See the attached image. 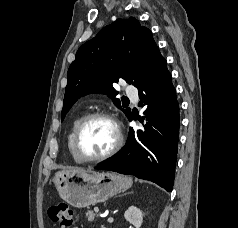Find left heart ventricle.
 Listing matches in <instances>:
<instances>
[{"mask_svg":"<svg viewBox=\"0 0 238 228\" xmlns=\"http://www.w3.org/2000/svg\"><path fill=\"white\" fill-rule=\"evenodd\" d=\"M116 141L113 124L106 119H94L83 130L80 141V153L85 157H96L107 152Z\"/></svg>","mask_w":238,"mask_h":228,"instance_id":"left-heart-ventricle-1","label":"left heart ventricle"}]
</instances>
